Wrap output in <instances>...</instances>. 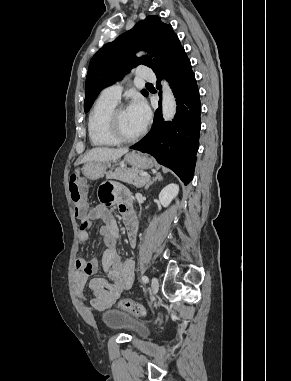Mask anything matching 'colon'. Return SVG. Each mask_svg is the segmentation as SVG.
<instances>
[{
	"label": "colon",
	"mask_w": 291,
	"mask_h": 381,
	"mask_svg": "<svg viewBox=\"0 0 291 381\" xmlns=\"http://www.w3.org/2000/svg\"><path fill=\"white\" fill-rule=\"evenodd\" d=\"M69 191L75 215L77 217H84L88 212V203L85 195V187L77 174H72L70 177ZM100 198L104 202L107 201L106 196H100ZM119 308L139 317H145L147 315L145 307L131 299L121 300L119 302Z\"/></svg>",
	"instance_id": "5ec220e1"
}]
</instances>
